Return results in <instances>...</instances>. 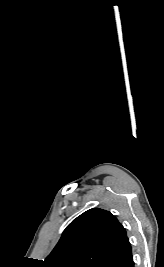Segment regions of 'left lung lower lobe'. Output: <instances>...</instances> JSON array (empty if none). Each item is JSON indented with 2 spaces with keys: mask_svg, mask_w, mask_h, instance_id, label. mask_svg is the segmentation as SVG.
Segmentation results:
<instances>
[{
  "mask_svg": "<svg viewBox=\"0 0 164 267\" xmlns=\"http://www.w3.org/2000/svg\"><path fill=\"white\" fill-rule=\"evenodd\" d=\"M102 267H134L131 244L127 236L123 238L119 246L108 257Z\"/></svg>",
  "mask_w": 164,
  "mask_h": 267,
  "instance_id": "0a47b994",
  "label": "left lung lower lobe"
}]
</instances>
